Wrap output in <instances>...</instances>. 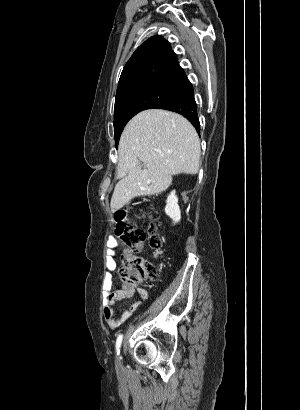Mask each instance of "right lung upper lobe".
Instances as JSON below:
<instances>
[{"label": "right lung upper lobe", "instance_id": "1", "mask_svg": "<svg viewBox=\"0 0 300 410\" xmlns=\"http://www.w3.org/2000/svg\"><path fill=\"white\" fill-rule=\"evenodd\" d=\"M171 81L189 83L169 42L153 36L136 49L124 66L117 94L135 84Z\"/></svg>", "mask_w": 300, "mask_h": 410}]
</instances>
